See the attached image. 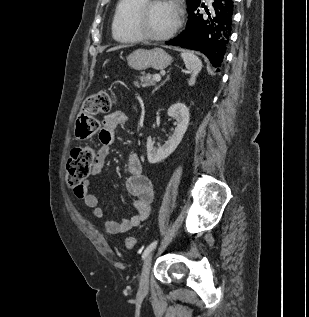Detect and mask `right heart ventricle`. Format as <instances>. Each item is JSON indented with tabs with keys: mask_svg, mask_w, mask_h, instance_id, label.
<instances>
[{
	"mask_svg": "<svg viewBox=\"0 0 309 317\" xmlns=\"http://www.w3.org/2000/svg\"><path fill=\"white\" fill-rule=\"evenodd\" d=\"M145 0H119L112 19L111 29L113 38L122 43H133L141 37L133 27V17L136 9Z\"/></svg>",
	"mask_w": 309,
	"mask_h": 317,
	"instance_id": "right-heart-ventricle-1",
	"label": "right heart ventricle"
}]
</instances>
